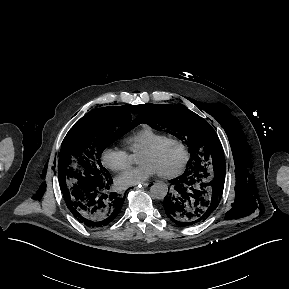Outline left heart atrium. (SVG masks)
<instances>
[{
	"label": "left heart atrium",
	"mask_w": 289,
	"mask_h": 289,
	"mask_svg": "<svg viewBox=\"0 0 289 289\" xmlns=\"http://www.w3.org/2000/svg\"><path fill=\"white\" fill-rule=\"evenodd\" d=\"M159 173L151 164H141L136 167L128 168L116 178V184L120 188L140 185L153 175Z\"/></svg>",
	"instance_id": "left-heart-atrium-1"
}]
</instances>
